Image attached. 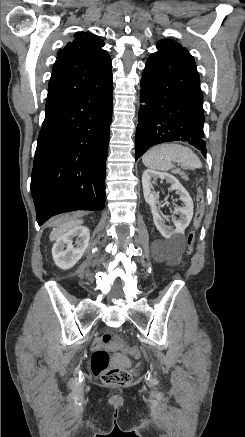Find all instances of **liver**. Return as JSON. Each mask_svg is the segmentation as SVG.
I'll return each instance as SVG.
<instances>
[{"instance_id": "liver-1", "label": "liver", "mask_w": 245, "mask_h": 437, "mask_svg": "<svg viewBox=\"0 0 245 437\" xmlns=\"http://www.w3.org/2000/svg\"><path fill=\"white\" fill-rule=\"evenodd\" d=\"M82 224V220H72L69 222H65L61 225H59L57 228L53 229V231L50 234V240H56L59 237H61L63 234L68 232L69 230H72L73 228H76Z\"/></svg>"}]
</instances>
